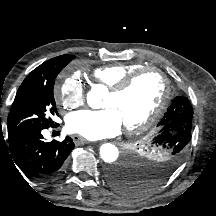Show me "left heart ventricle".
I'll return each mask as SVG.
<instances>
[{
    "label": "left heart ventricle",
    "instance_id": "obj_1",
    "mask_svg": "<svg viewBox=\"0 0 216 216\" xmlns=\"http://www.w3.org/2000/svg\"><path fill=\"white\" fill-rule=\"evenodd\" d=\"M163 94V82L155 72L140 75L121 95L107 94L104 108L113 109L124 126L143 121L158 105Z\"/></svg>",
    "mask_w": 216,
    "mask_h": 216
}]
</instances>
